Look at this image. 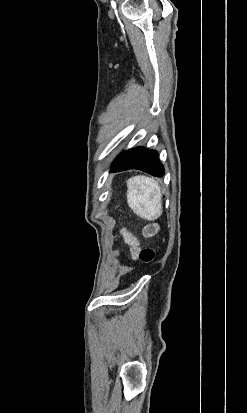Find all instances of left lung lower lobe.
I'll use <instances>...</instances> for the list:
<instances>
[{
	"mask_svg": "<svg viewBox=\"0 0 247 413\" xmlns=\"http://www.w3.org/2000/svg\"><path fill=\"white\" fill-rule=\"evenodd\" d=\"M138 169L154 176L162 177L164 168L155 150L137 147L121 153L112 164L110 172Z\"/></svg>",
	"mask_w": 247,
	"mask_h": 413,
	"instance_id": "left-lung-lower-lobe-1",
	"label": "left lung lower lobe"
}]
</instances>
